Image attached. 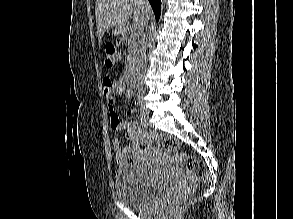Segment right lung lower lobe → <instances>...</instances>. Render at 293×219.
<instances>
[{"mask_svg":"<svg viewBox=\"0 0 293 219\" xmlns=\"http://www.w3.org/2000/svg\"><path fill=\"white\" fill-rule=\"evenodd\" d=\"M151 7L154 11L155 17L159 20L160 16V8H161V0H149Z\"/></svg>","mask_w":293,"mask_h":219,"instance_id":"98d812e1","label":"right lung lower lobe"}]
</instances>
